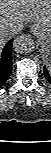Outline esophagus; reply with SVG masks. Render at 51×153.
Wrapping results in <instances>:
<instances>
[{
    "mask_svg": "<svg viewBox=\"0 0 51 153\" xmlns=\"http://www.w3.org/2000/svg\"><path fill=\"white\" fill-rule=\"evenodd\" d=\"M37 31H38V28L36 26L31 27V32H33V34H35Z\"/></svg>",
    "mask_w": 51,
    "mask_h": 153,
    "instance_id": "esophagus-1",
    "label": "esophagus"
}]
</instances>
